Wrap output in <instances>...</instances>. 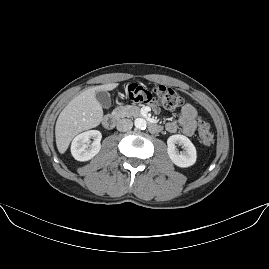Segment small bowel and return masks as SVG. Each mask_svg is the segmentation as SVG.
I'll list each match as a JSON object with an SVG mask.
<instances>
[{
    "instance_id": "obj_1",
    "label": "small bowel",
    "mask_w": 269,
    "mask_h": 269,
    "mask_svg": "<svg viewBox=\"0 0 269 269\" xmlns=\"http://www.w3.org/2000/svg\"><path fill=\"white\" fill-rule=\"evenodd\" d=\"M196 109L190 103H186L180 111L177 120L167 123L166 129L170 133H175L179 129L186 136H191L196 130Z\"/></svg>"
}]
</instances>
